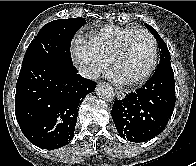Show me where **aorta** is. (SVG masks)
Listing matches in <instances>:
<instances>
[{
    "instance_id": "762f6f07",
    "label": "aorta",
    "mask_w": 196,
    "mask_h": 166,
    "mask_svg": "<svg viewBox=\"0 0 196 166\" xmlns=\"http://www.w3.org/2000/svg\"><path fill=\"white\" fill-rule=\"evenodd\" d=\"M96 94L99 98L108 102H112L115 97L113 88L107 83H100L96 88Z\"/></svg>"
}]
</instances>
